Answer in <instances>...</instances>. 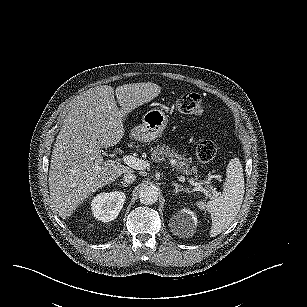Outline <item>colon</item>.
I'll return each mask as SVG.
<instances>
[{
    "label": "colon",
    "mask_w": 307,
    "mask_h": 307,
    "mask_svg": "<svg viewBox=\"0 0 307 307\" xmlns=\"http://www.w3.org/2000/svg\"><path fill=\"white\" fill-rule=\"evenodd\" d=\"M177 109L189 115H200L204 110L201 96L194 92L182 94L176 101ZM216 144L209 140L201 141L196 147V155L200 162L208 163L216 156Z\"/></svg>",
    "instance_id": "colon-1"
}]
</instances>
